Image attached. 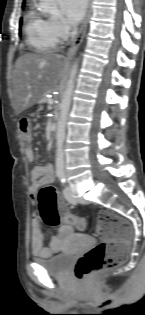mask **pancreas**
<instances>
[{
    "label": "pancreas",
    "mask_w": 145,
    "mask_h": 315,
    "mask_svg": "<svg viewBox=\"0 0 145 315\" xmlns=\"http://www.w3.org/2000/svg\"><path fill=\"white\" fill-rule=\"evenodd\" d=\"M48 101H49L48 98L43 97L40 102H41V103H46V102H48Z\"/></svg>",
    "instance_id": "cf45deb5"
}]
</instances>
